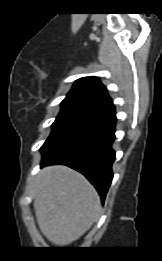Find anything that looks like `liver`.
<instances>
[{"instance_id": "6515ba94", "label": "liver", "mask_w": 162, "mask_h": 261, "mask_svg": "<svg viewBox=\"0 0 162 261\" xmlns=\"http://www.w3.org/2000/svg\"><path fill=\"white\" fill-rule=\"evenodd\" d=\"M34 209L43 235L54 245L78 240L98 219L100 199L80 173L67 166L44 168L34 190Z\"/></svg>"}]
</instances>
